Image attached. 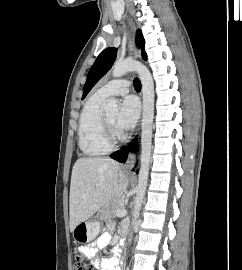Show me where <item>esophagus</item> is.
<instances>
[{
    "mask_svg": "<svg viewBox=\"0 0 242 270\" xmlns=\"http://www.w3.org/2000/svg\"><path fill=\"white\" fill-rule=\"evenodd\" d=\"M129 23L131 25V28H132L133 32H135L136 31V25H135L133 19L130 16H129ZM138 54H139V58L143 61L141 53L139 52ZM139 131H140V123H138V125H137L136 131H135V136H137L139 134ZM134 161H135L134 154H130L128 156L127 161H126V167L131 168L133 166Z\"/></svg>",
    "mask_w": 242,
    "mask_h": 270,
    "instance_id": "34e87169",
    "label": "esophagus"
}]
</instances>
